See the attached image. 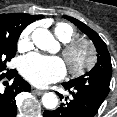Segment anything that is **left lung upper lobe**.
<instances>
[{
  "instance_id": "obj_1",
  "label": "left lung upper lobe",
  "mask_w": 117,
  "mask_h": 117,
  "mask_svg": "<svg viewBox=\"0 0 117 117\" xmlns=\"http://www.w3.org/2000/svg\"><path fill=\"white\" fill-rule=\"evenodd\" d=\"M63 17L85 33L93 41L98 52V61L91 71L65 83L91 91L104 100L109 93L112 76L111 58L107 46L100 36L83 22L70 16Z\"/></svg>"
}]
</instances>
